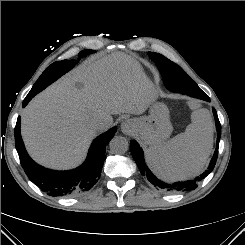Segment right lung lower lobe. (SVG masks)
<instances>
[{"instance_id":"98d812e1","label":"right lung lower lobe","mask_w":245,"mask_h":245,"mask_svg":"<svg viewBox=\"0 0 245 245\" xmlns=\"http://www.w3.org/2000/svg\"><path fill=\"white\" fill-rule=\"evenodd\" d=\"M33 96L27 95L23 107ZM116 127L97 137L88 152L86 161L78 168L69 171L46 169L35 163L26 152L20 133V117L15 126V143L20 163L28 178L51 196H73L89 190L101 175L106 146L113 138Z\"/></svg>"}]
</instances>
